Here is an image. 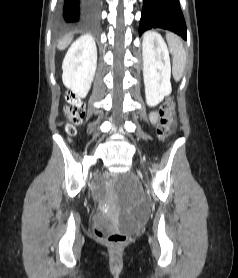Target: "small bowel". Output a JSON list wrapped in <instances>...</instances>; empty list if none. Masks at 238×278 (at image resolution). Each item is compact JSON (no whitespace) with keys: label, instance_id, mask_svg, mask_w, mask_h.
Here are the masks:
<instances>
[{"label":"small bowel","instance_id":"1","mask_svg":"<svg viewBox=\"0 0 238 278\" xmlns=\"http://www.w3.org/2000/svg\"><path fill=\"white\" fill-rule=\"evenodd\" d=\"M151 119H152L153 121H156V120H157V114H156V113H153V114L151 115Z\"/></svg>","mask_w":238,"mask_h":278}]
</instances>
